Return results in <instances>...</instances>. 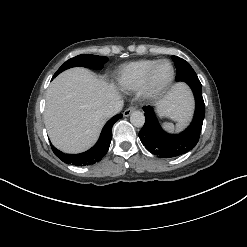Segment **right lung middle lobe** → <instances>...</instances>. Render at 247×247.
Returning a JSON list of instances; mask_svg holds the SVG:
<instances>
[{"label": "right lung middle lobe", "mask_w": 247, "mask_h": 247, "mask_svg": "<svg viewBox=\"0 0 247 247\" xmlns=\"http://www.w3.org/2000/svg\"><path fill=\"white\" fill-rule=\"evenodd\" d=\"M108 61V58L105 56H97V55H90V54H82L78 55L74 58L69 59L66 61L54 74L53 77H56L62 71L69 69L71 67L82 66L88 67L92 69H102L103 65Z\"/></svg>", "instance_id": "right-lung-middle-lobe-1"}]
</instances>
